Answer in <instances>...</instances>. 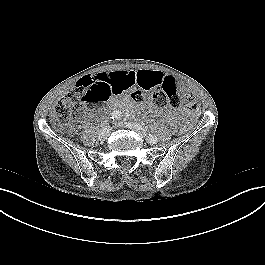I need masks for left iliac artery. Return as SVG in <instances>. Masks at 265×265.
<instances>
[{"label": "left iliac artery", "mask_w": 265, "mask_h": 265, "mask_svg": "<svg viewBox=\"0 0 265 265\" xmlns=\"http://www.w3.org/2000/svg\"><path fill=\"white\" fill-rule=\"evenodd\" d=\"M148 139H149V140H154V139L157 140V137L154 136V135H152V134H149Z\"/></svg>", "instance_id": "obj_1"}]
</instances>
